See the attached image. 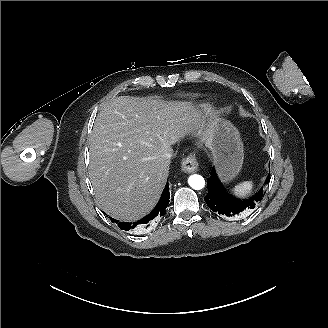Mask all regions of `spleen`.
<instances>
[{"label":"spleen","mask_w":328,"mask_h":328,"mask_svg":"<svg viewBox=\"0 0 328 328\" xmlns=\"http://www.w3.org/2000/svg\"><path fill=\"white\" fill-rule=\"evenodd\" d=\"M251 190V183L248 181L237 184L234 188V192L238 195H245Z\"/></svg>","instance_id":"1"}]
</instances>
